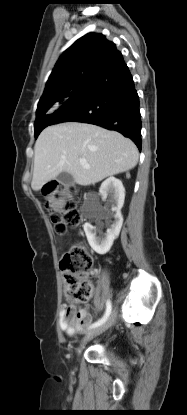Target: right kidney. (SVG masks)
<instances>
[{"label":"right kidney","instance_id":"obj_1","mask_svg":"<svg viewBox=\"0 0 187 415\" xmlns=\"http://www.w3.org/2000/svg\"><path fill=\"white\" fill-rule=\"evenodd\" d=\"M99 193L104 199L109 196L110 202L112 203L111 212H109L107 209H102L103 216L111 215L114 212L115 214L113 216L115 220L110 228L107 229V232L104 236H97L95 227L90 223L84 224V231L91 248L96 253L104 255L110 250L114 240L119 236L123 224L121 208L124 204L125 189L119 179L115 177H109L101 184Z\"/></svg>","mask_w":187,"mask_h":415}]
</instances>
